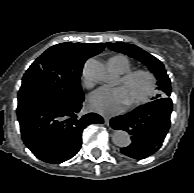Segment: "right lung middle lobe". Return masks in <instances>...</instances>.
I'll list each match as a JSON object with an SVG mask.
<instances>
[{
	"instance_id": "dd1d6c3e",
	"label": "right lung middle lobe",
	"mask_w": 194,
	"mask_h": 193,
	"mask_svg": "<svg viewBox=\"0 0 194 193\" xmlns=\"http://www.w3.org/2000/svg\"><path fill=\"white\" fill-rule=\"evenodd\" d=\"M81 71L45 74L26 71L18 94V105L38 102H72L83 97Z\"/></svg>"
}]
</instances>
